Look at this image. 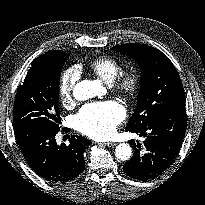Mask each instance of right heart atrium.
<instances>
[{
	"mask_svg": "<svg viewBox=\"0 0 205 205\" xmlns=\"http://www.w3.org/2000/svg\"><path fill=\"white\" fill-rule=\"evenodd\" d=\"M78 78L79 72L74 67L67 69L62 74L58 84V94L64 104H68L72 101L73 89Z\"/></svg>",
	"mask_w": 205,
	"mask_h": 205,
	"instance_id": "1",
	"label": "right heart atrium"
}]
</instances>
